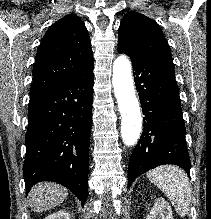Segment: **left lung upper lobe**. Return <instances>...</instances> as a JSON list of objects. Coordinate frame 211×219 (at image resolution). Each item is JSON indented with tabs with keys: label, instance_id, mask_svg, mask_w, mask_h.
<instances>
[{
	"label": "left lung upper lobe",
	"instance_id": "1",
	"mask_svg": "<svg viewBox=\"0 0 211 219\" xmlns=\"http://www.w3.org/2000/svg\"><path fill=\"white\" fill-rule=\"evenodd\" d=\"M118 49L130 55L172 61L168 42L157 23L135 11L126 13L121 21Z\"/></svg>",
	"mask_w": 211,
	"mask_h": 219
}]
</instances>
